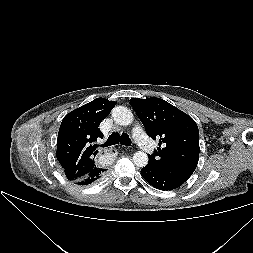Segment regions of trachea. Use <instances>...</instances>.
Instances as JSON below:
<instances>
[{
    "label": "trachea",
    "mask_w": 253,
    "mask_h": 253,
    "mask_svg": "<svg viewBox=\"0 0 253 253\" xmlns=\"http://www.w3.org/2000/svg\"><path fill=\"white\" fill-rule=\"evenodd\" d=\"M121 143L122 145L125 146H130L131 145V139L127 134H122L121 136L118 133H112L105 144H103V147H108L111 145H116L118 143Z\"/></svg>",
    "instance_id": "trachea-1"
}]
</instances>
